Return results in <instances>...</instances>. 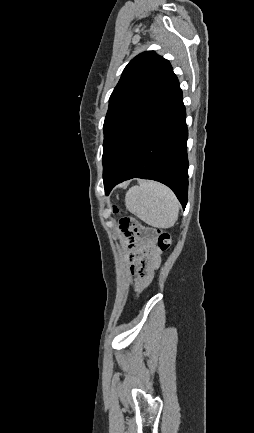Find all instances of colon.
I'll list each match as a JSON object with an SVG mask.
<instances>
[{
    "label": "colon",
    "mask_w": 254,
    "mask_h": 433,
    "mask_svg": "<svg viewBox=\"0 0 254 433\" xmlns=\"http://www.w3.org/2000/svg\"><path fill=\"white\" fill-rule=\"evenodd\" d=\"M114 212L118 213L119 209L115 208ZM119 228L123 232L124 237L127 239L130 245L133 244L134 235H138V234L146 235V236L154 235L153 231L142 228L141 225L134 217L126 214H122L119 223ZM157 237H158L159 248L163 251L168 250L172 244L171 235L166 231H158Z\"/></svg>",
    "instance_id": "colon-1"
}]
</instances>
